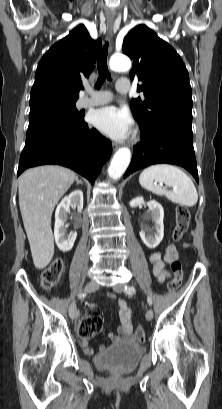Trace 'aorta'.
<instances>
[{
  "mask_svg": "<svg viewBox=\"0 0 222 409\" xmlns=\"http://www.w3.org/2000/svg\"><path fill=\"white\" fill-rule=\"evenodd\" d=\"M110 68L113 71H127L131 68V61L124 55H115L110 59ZM131 161V152L128 148H120L113 156L108 168V175L118 180L126 171Z\"/></svg>",
  "mask_w": 222,
  "mask_h": 409,
  "instance_id": "762f6f07",
  "label": "aorta"
}]
</instances>
